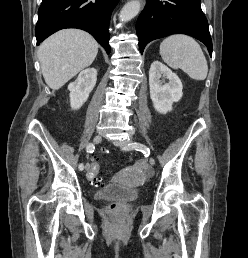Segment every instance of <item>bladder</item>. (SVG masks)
<instances>
[{"label": "bladder", "mask_w": 248, "mask_h": 258, "mask_svg": "<svg viewBox=\"0 0 248 258\" xmlns=\"http://www.w3.org/2000/svg\"><path fill=\"white\" fill-rule=\"evenodd\" d=\"M141 192L121 184L109 183L95 192L97 200L119 199L130 201L139 198Z\"/></svg>", "instance_id": "obj_1"}]
</instances>
